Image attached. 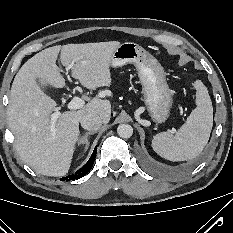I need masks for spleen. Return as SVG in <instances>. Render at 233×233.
Masks as SVG:
<instances>
[{
	"label": "spleen",
	"instance_id": "3e777b00",
	"mask_svg": "<svg viewBox=\"0 0 233 233\" xmlns=\"http://www.w3.org/2000/svg\"><path fill=\"white\" fill-rule=\"evenodd\" d=\"M196 108L175 133L161 132L152 140L153 150L170 161H186L199 155L206 146L213 125V107L206 86L196 80Z\"/></svg>",
	"mask_w": 233,
	"mask_h": 233
}]
</instances>
